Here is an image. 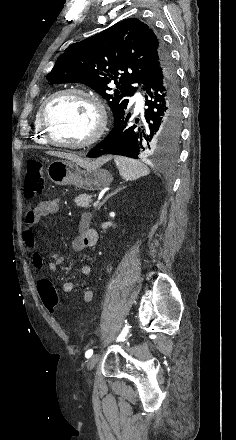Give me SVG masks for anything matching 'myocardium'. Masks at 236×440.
I'll list each match as a JSON object with an SVG mask.
<instances>
[{
	"label": "myocardium",
	"mask_w": 236,
	"mask_h": 440,
	"mask_svg": "<svg viewBox=\"0 0 236 440\" xmlns=\"http://www.w3.org/2000/svg\"><path fill=\"white\" fill-rule=\"evenodd\" d=\"M64 95H78L83 98H86L91 103V105L93 106V108L95 110L96 124H95L93 132L91 133V135L87 139H85L81 142H78V143H64V142L56 141L52 137L51 132L49 130V127L47 125L46 115H47V111H48L50 104L52 103V101L54 99H56L60 96H64ZM39 123H40V127L42 129V132H43V134L49 144L57 146V147L65 148V149H82V148L92 146L102 137V135L104 134V132L106 130V126H107V112H106V108H105L102 100L94 93H92L88 90H85V89H81V88L68 87V88L60 89V90L52 93L43 102V104L41 106V110H40V115H39Z\"/></svg>",
	"instance_id": "1"
}]
</instances>
